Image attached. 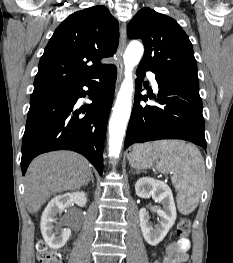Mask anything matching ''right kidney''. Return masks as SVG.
Segmentation results:
<instances>
[{
  "mask_svg": "<svg viewBox=\"0 0 233 263\" xmlns=\"http://www.w3.org/2000/svg\"><path fill=\"white\" fill-rule=\"evenodd\" d=\"M72 203L84 207L87 203L86 194L81 191L55 196L50 200L42 214L41 233L45 243L52 249L62 248L71 235L70 228H59L57 215L61 214ZM54 223L57 225H54Z\"/></svg>",
  "mask_w": 233,
  "mask_h": 263,
  "instance_id": "obj_1",
  "label": "right kidney"
}]
</instances>
